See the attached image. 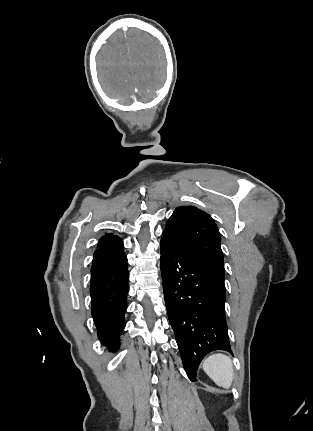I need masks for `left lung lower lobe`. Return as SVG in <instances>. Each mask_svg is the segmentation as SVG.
<instances>
[{
	"instance_id": "left-lung-lower-lobe-1",
	"label": "left lung lower lobe",
	"mask_w": 313,
	"mask_h": 431,
	"mask_svg": "<svg viewBox=\"0 0 313 431\" xmlns=\"http://www.w3.org/2000/svg\"><path fill=\"white\" fill-rule=\"evenodd\" d=\"M160 264L165 304L191 381L211 351L231 347L225 318L224 274L181 250L162 234Z\"/></svg>"
}]
</instances>
